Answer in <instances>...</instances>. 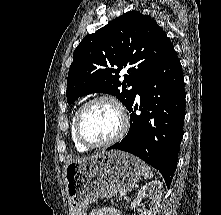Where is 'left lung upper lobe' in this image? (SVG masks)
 Segmentation results:
<instances>
[{
  "mask_svg": "<svg viewBox=\"0 0 221 215\" xmlns=\"http://www.w3.org/2000/svg\"><path fill=\"white\" fill-rule=\"evenodd\" d=\"M157 23L130 11L87 35L77 46L67 79V102L90 93H108L130 107L141 82L171 46ZM122 69L127 71L119 80ZM131 87V88H130Z\"/></svg>",
  "mask_w": 221,
  "mask_h": 215,
  "instance_id": "1",
  "label": "left lung upper lobe"
}]
</instances>
